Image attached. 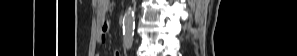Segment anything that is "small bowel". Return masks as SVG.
<instances>
[{
    "label": "small bowel",
    "mask_w": 297,
    "mask_h": 56,
    "mask_svg": "<svg viewBox=\"0 0 297 56\" xmlns=\"http://www.w3.org/2000/svg\"><path fill=\"white\" fill-rule=\"evenodd\" d=\"M110 8V2L108 0H98L97 9L98 16L100 18V33H99V42L104 43L107 39V31L109 28L108 21L106 20V15ZM115 56H121L119 51L115 52Z\"/></svg>",
    "instance_id": "1"
}]
</instances>
